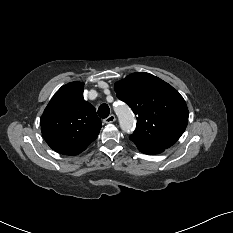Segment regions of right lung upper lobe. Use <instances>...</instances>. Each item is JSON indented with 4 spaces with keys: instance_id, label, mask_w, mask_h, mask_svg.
<instances>
[{
    "instance_id": "1",
    "label": "right lung upper lobe",
    "mask_w": 233,
    "mask_h": 233,
    "mask_svg": "<svg viewBox=\"0 0 233 233\" xmlns=\"http://www.w3.org/2000/svg\"><path fill=\"white\" fill-rule=\"evenodd\" d=\"M83 85L76 81L62 86L40 119L44 139L58 153L85 150L102 127L95 108L83 98Z\"/></svg>"
}]
</instances>
